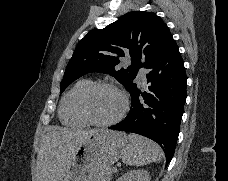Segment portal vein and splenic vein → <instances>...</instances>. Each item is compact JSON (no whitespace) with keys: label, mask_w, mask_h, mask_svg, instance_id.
Returning a JSON list of instances; mask_svg holds the SVG:
<instances>
[{"label":"portal vein and splenic vein","mask_w":228,"mask_h":181,"mask_svg":"<svg viewBox=\"0 0 228 181\" xmlns=\"http://www.w3.org/2000/svg\"><path fill=\"white\" fill-rule=\"evenodd\" d=\"M118 171V166H113L112 167V174H117Z\"/></svg>","instance_id":"obj_1"}]
</instances>
